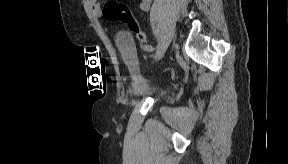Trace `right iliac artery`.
Masks as SVG:
<instances>
[{
  "instance_id": "right-iliac-artery-1",
  "label": "right iliac artery",
  "mask_w": 288,
  "mask_h": 164,
  "mask_svg": "<svg viewBox=\"0 0 288 164\" xmlns=\"http://www.w3.org/2000/svg\"><path fill=\"white\" fill-rule=\"evenodd\" d=\"M142 47H143V49H144L145 51H147V52H153L154 49H155L153 46H151V45H149V44H144Z\"/></svg>"
}]
</instances>
